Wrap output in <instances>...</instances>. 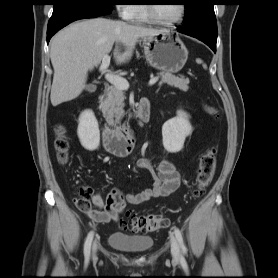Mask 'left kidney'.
I'll return each instance as SVG.
<instances>
[{
	"mask_svg": "<svg viewBox=\"0 0 278 278\" xmlns=\"http://www.w3.org/2000/svg\"><path fill=\"white\" fill-rule=\"evenodd\" d=\"M192 133L188 115L177 111V116L168 120L162 126L163 146L170 153L182 150L187 136Z\"/></svg>",
	"mask_w": 278,
	"mask_h": 278,
	"instance_id": "obj_1",
	"label": "left kidney"
}]
</instances>
